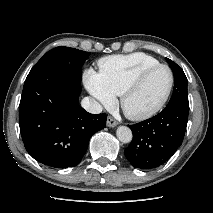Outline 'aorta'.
Wrapping results in <instances>:
<instances>
[{"label": "aorta", "instance_id": "1", "mask_svg": "<svg viewBox=\"0 0 213 213\" xmlns=\"http://www.w3.org/2000/svg\"><path fill=\"white\" fill-rule=\"evenodd\" d=\"M116 135L119 141H121L122 143H129L132 141L133 138L132 131L127 126L118 127Z\"/></svg>", "mask_w": 213, "mask_h": 213}]
</instances>
